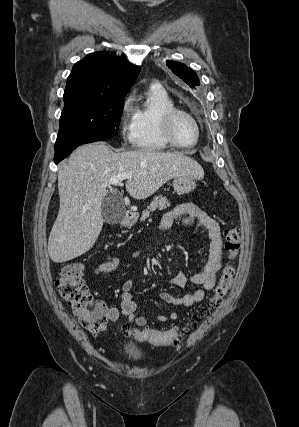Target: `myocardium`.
<instances>
[{
  "label": "myocardium",
  "instance_id": "f54148a6",
  "mask_svg": "<svg viewBox=\"0 0 299 427\" xmlns=\"http://www.w3.org/2000/svg\"><path fill=\"white\" fill-rule=\"evenodd\" d=\"M180 115L190 118L195 124L196 139L192 144H180L174 138V135L172 132L173 121L175 120L176 117ZM161 131L165 140L170 144V146L180 148V149H188V148L194 147L195 145H197L201 136V127L196 117L192 115L190 112L183 109H179V108L169 109L161 115Z\"/></svg>",
  "mask_w": 299,
  "mask_h": 427
}]
</instances>
